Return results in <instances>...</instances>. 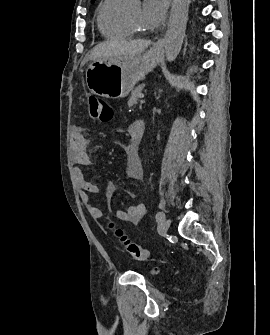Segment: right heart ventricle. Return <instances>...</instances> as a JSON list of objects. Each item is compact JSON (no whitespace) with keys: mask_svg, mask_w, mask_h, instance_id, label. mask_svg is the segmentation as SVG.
I'll return each mask as SVG.
<instances>
[{"mask_svg":"<svg viewBox=\"0 0 270 335\" xmlns=\"http://www.w3.org/2000/svg\"><path fill=\"white\" fill-rule=\"evenodd\" d=\"M124 0H104L97 11V28L108 39H125L133 36L134 32L127 26L120 14Z\"/></svg>","mask_w":270,"mask_h":335,"instance_id":"right-heart-ventricle-1","label":"right heart ventricle"}]
</instances>
